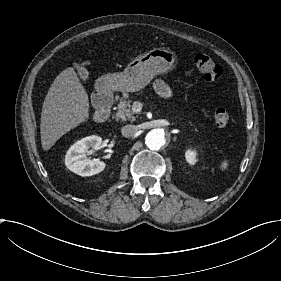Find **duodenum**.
<instances>
[{
  "mask_svg": "<svg viewBox=\"0 0 281 281\" xmlns=\"http://www.w3.org/2000/svg\"><path fill=\"white\" fill-rule=\"evenodd\" d=\"M112 102H113L112 96L108 92L101 91L95 95L94 103L97 107L95 113L96 121L104 122L108 118L110 114Z\"/></svg>",
  "mask_w": 281,
  "mask_h": 281,
  "instance_id": "410a0bca",
  "label": "duodenum"
}]
</instances>
